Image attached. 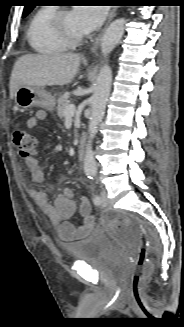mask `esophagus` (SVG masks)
<instances>
[{"instance_id": "1", "label": "esophagus", "mask_w": 184, "mask_h": 327, "mask_svg": "<svg viewBox=\"0 0 184 327\" xmlns=\"http://www.w3.org/2000/svg\"><path fill=\"white\" fill-rule=\"evenodd\" d=\"M116 12H117V8H115V7L111 8L106 25H108V23L114 18V16L116 15ZM102 32L98 35V37L96 38L95 42L93 43V45L91 47V51L93 53H95L98 49V46H99V43L101 40V36H102Z\"/></svg>"}]
</instances>
